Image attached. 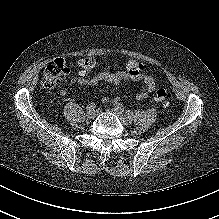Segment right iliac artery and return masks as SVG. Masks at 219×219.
<instances>
[{"label":"right iliac artery","instance_id":"right-iliac-artery-1","mask_svg":"<svg viewBox=\"0 0 219 219\" xmlns=\"http://www.w3.org/2000/svg\"><path fill=\"white\" fill-rule=\"evenodd\" d=\"M95 108H96V105H95L94 102L89 103L88 106H87V110H89V111H94Z\"/></svg>","mask_w":219,"mask_h":219}]
</instances>
